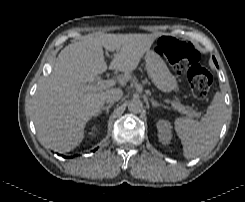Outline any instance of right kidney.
<instances>
[{"instance_id":"obj_1","label":"right kidney","mask_w":245,"mask_h":202,"mask_svg":"<svg viewBox=\"0 0 245 202\" xmlns=\"http://www.w3.org/2000/svg\"><path fill=\"white\" fill-rule=\"evenodd\" d=\"M93 129H94V132H95V131H96L95 127H93ZM94 132H91L90 134H92V135H93V134H94Z\"/></svg>"}]
</instances>
